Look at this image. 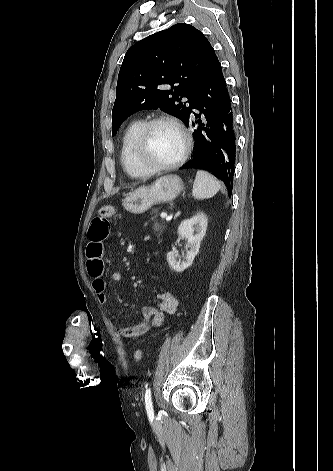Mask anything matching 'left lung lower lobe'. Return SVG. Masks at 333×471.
Segmentation results:
<instances>
[{"label":"left lung lower lobe","mask_w":333,"mask_h":471,"mask_svg":"<svg viewBox=\"0 0 333 471\" xmlns=\"http://www.w3.org/2000/svg\"><path fill=\"white\" fill-rule=\"evenodd\" d=\"M194 108L205 115L206 123L195 128V122L190 119L186 124L193 129L195 149L191 160L180 169L199 168L212 172L224 182L231 195L236 128L231 98L217 57L197 90ZM194 116L202 125L201 115L194 113Z\"/></svg>","instance_id":"obj_1"}]
</instances>
